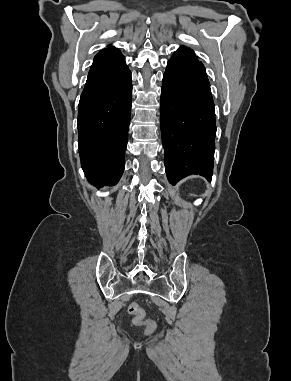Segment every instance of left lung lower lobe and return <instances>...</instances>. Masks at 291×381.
Returning a JSON list of instances; mask_svg holds the SVG:
<instances>
[{"instance_id": "1", "label": "left lung lower lobe", "mask_w": 291, "mask_h": 381, "mask_svg": "<svg viewBox=\"0 0 291 381\" xmlns=\"http://www.w3.org/2000/svg\"><path fill=\"white\" fill-rule=\"evenodd\" d=\"M165 170L172 185L190 174L211 181L215 107L204 65L180 47L167 63L160 101Z\"/></svg>"}]
</instances>
